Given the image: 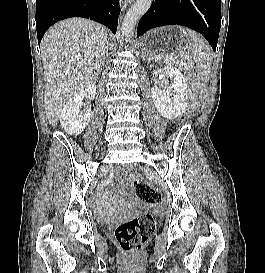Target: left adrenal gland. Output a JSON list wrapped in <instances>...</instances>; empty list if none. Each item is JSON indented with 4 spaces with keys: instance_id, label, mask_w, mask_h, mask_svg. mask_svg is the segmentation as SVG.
Listing matches in <instances>:
<instances>
[{
    "instance_id": "obj_1",
    "label": "left adrenal gland",
    "mask_w": 265,
    "mask_h": 273,
    "mask_svg": "<svg viewBox=\"0 0 265 273\" xmlns=\"http://www.w3.org/2000/svg\"><path fill=\"white\" fill-rule=\"evenodd\" d=\"M145 56H146L145 54L142 55L143 58H144Z\"/></svg>"
}]
</instances>
